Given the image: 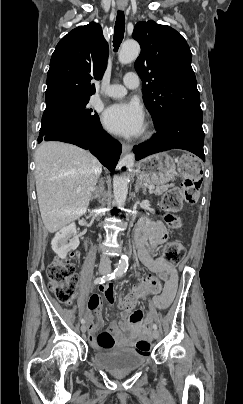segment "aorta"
<instances>
[{"instance_id":"aorta-1","label":"aorta","mask_w":243,"mask_h":404,"mask_svg":"<svg viewBox=\"0 0 243 404\" xmlns=\"http://www.w3.org/2000/svg\"><path fill=\"white\" fill-rule=\"evenodd\" d=\"M140 54V46L135 42V40H126L121 46L119 52L118 60L120 64H131L133 60H136ZM135 162L134 154H126L122 160L118 161L117 166H115L114 180H113V190H114V200L117 204L118 209H123L126 202L128 194V183L131 180V168H133ZM127 258H122L119 262L117 268L118 272L123 270L125 272L127 268Z\"/></svg>"}]
</instances>
